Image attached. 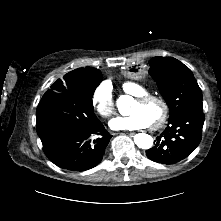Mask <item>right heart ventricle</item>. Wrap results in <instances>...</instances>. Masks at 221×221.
Listing matches in <instances>:
<instances>
[{
	"mask_svg": "<svg viewBox=\"0 0 221 221\" xmlns=\"http://www.w3.org/2000/svg\"><path fill=\"white\" fill-rule=\"evenodd\" d=\"M122 89L136 98L149 94V91L144 86L134 81L124 82L122 84Z\"/></svg>",
	"mask_w": 221,
	"mask_h": 221,
	"instance_id": "obj_1",
	"label": "right heart ventricle"
}]
</instances>
